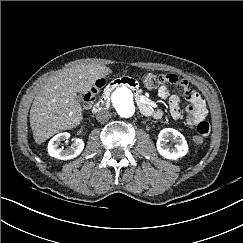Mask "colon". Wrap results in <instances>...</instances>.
<instances>
[{"instance_id": "obj_1", "label": "colon", "mask_w": 243, "mask_h": 243, "mask_svg": "<svg viewBox=\"0 0 243 243\" xmlns=\"http://www.w3.org/2000/svg\"><path fill=\"white\" fill-rule=\"evenodd\" d=\"M166 81V78L164 77V75H158V74H154V73H146L143 76V83L144 85L149 88V89H153L156 88L158 86H160L161 84H163ZM104 86V81L98 80L95 84V86L86 94L85 96V101L87 103H91L96 95L98 94V92L101 90V88ZM192 141L194 144H202L203 143V137L201 135H195L192 138Z\"/></svg>"}]
</instances>
